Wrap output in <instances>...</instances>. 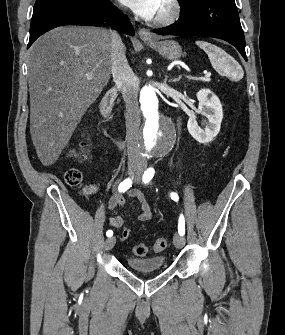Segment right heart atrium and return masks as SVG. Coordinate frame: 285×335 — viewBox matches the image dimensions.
Returning a JSON list of instances; mask_svg holds the SVG:
<instances>
[{
	"label": "right heart atrium",
	"instance_id": "1",
	"mask_svg": "<svg viewBox=\"0 0 285 335\" xmlns=\"http://www.w3.org/2000/svg\"><path fill=\"white\" fill-rule=\"evenodd\" d=\"M114 8H115V11H116L117 13H119V14H123V13H124V7H123L122 5H120V4H116V5L114 6Z\"/></svg>",
	"mask_w": 285,
	"mask_h": 335
}]
</instances>
